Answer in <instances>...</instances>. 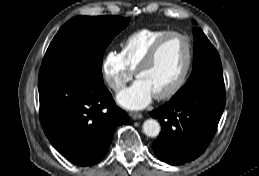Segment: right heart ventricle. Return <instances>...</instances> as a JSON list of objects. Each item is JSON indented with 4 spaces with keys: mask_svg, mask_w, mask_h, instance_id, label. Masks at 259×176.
Segmentation results:
<instances>
[{
    "mask_svg": "<svg viewBox=\"0 0 259 176\" xmlns=\"http://www.w3.org/2000/svg\"><path fill=\"white\" fill-rule=\"evenodd\" d=\"M167 32V29L145 28L130 34L123 42L120 52L129 69L136 71L153 44Z\"/></svg>",
    "mask_w": 259,
    "mask_h": 176,
    "instance_id": "e07e8e85",
    "label": "right heart ventricle"
}]
</instances>
